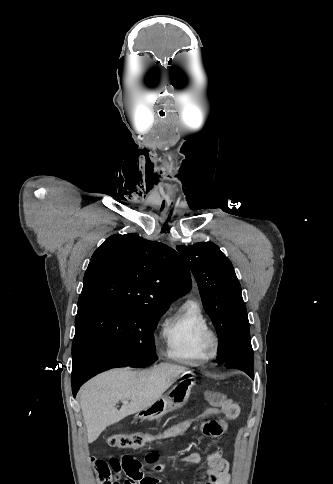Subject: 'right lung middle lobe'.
<instances>
[{"label": "right lung middle lobe", "instance_id": "dd1d6c3e", "mask_svg": "<svg viewBox=\"0 0 333 484\" xmlns=\"http://www.w3.org/2000/svg\"><path fill=\"white\" fill-rule=\"evenodd\" d=\"M164 311L128 304L78 305L72 358L86 338L107 344L131 367H146L157 360L153 331Z\"/></svg>", "mask_w": 333, "mask_h": 484}]
</instances>
